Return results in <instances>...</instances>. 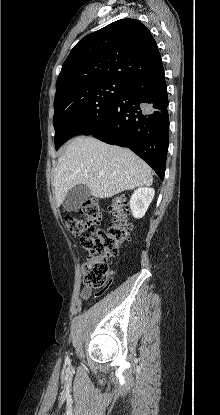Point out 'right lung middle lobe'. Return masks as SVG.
Here are the masks:
<instances>
[{
  "instance_id": "dd1d6c3e",
  "label": "right lung middle lobe",
  "mask_w": 220,
  "mask_h": 415,
  "mask_svg": "<svg viewBox=\"0 0 220 415\" xmlns=\"http://www.w3.org/2000/svg\"><path fill=\"white\" fill-rule=\"evenodd\" d=\"M127 83L117 80L75 84L54 99L55 148L69 138L90 135L103 125Z\"/></svg>"
}]
</instances>
